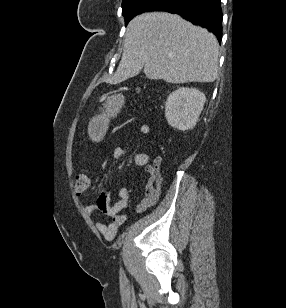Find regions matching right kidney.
I'll return each instance as SVG.
<instances>
[{
	"label": "right kidney",
	"mask_w": 286,
	"mask_h": 308,
	"mask_svg": "<svg viewBox=\"0 0 286 308\" xmlns=\"http://www.w3.org/2000/svg\"><path fill=\"white\" fill-rule=\"evenodd\" d=\"M206 97L195 88L181 87L173 91L165 104V117L173 128L192 129L203 109Z\"/></svg>",
	"instance_id": "obj_1"
}]
</instances>
